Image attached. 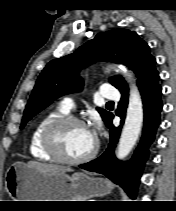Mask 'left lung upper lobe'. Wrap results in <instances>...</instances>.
Listing matches in <instances>:
<instances>
[{"instance_id": "obj_1", "label": "left lung upper lobe", "mask_w": 176, "mask_h": 211, "mask_svg": "<svg viewBox=\"0 0 176 211\" xmlns=\"http://www.w3.org/2000/svg\"><path fill=\"white\" fill-rule=\"evenodd\" d=\"M96 61H112L130 67L138 77V86L159 74L148 44L136 32L114 29L99 33L74 53L52 60L46 65L27 103L21 128L53 100L80 91L83 87V81L78 75L80 69ZM109 82L121 93L128 91L126 82L120 76L111 77ZM97 110L106 123L112 113L101 108Z\"/></svg>"}]
</instances>
